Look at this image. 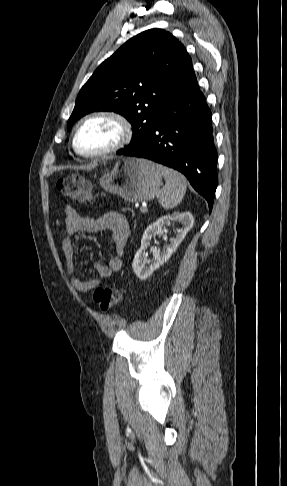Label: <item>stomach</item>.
Here are the masks:
<instances>
[{
    "instance_id": "1",
    "label": "stomach",
    "mask_w": 287,
    "mask_h": 486,
    "mask_svg": "<svg viewBox=\"0 0 287 486\" xmlns=\"http://www.w3.org/2000/svg\"><path fill=\"white\" fill-rule=\"evenodd\" d=\"M100 186L129 202L153 199L160 191L162 173L158 165L146 159L125 157L102 175Z\"/></svg>"
}]
</instances>
